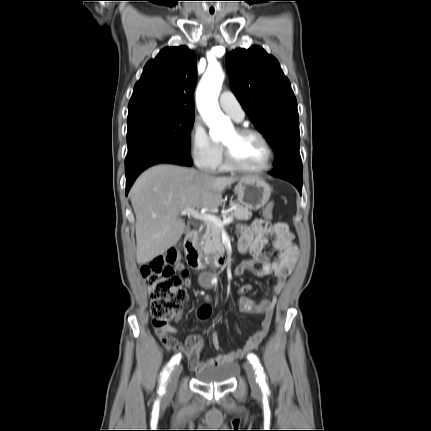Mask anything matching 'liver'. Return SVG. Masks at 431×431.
Listing matches in <instances>:
<instances>
[{"mask_svg": "<svg viewBox=\"0 0 431 431\" xmlns=\"http://www.w3.org/2000/svg\"><path fill=\"white\" fill-rule=\"evenodd\" d=\"M242 178L215 177L205 172L161 164L149 168L130 190L136 216V259L150 262L177 244L186 208L217 209L225 188Z\"/></svg>", "mask_w": 431, "mask_h": 431, "instance_id": "obj_1", "label": "liver"}]
</instances>
